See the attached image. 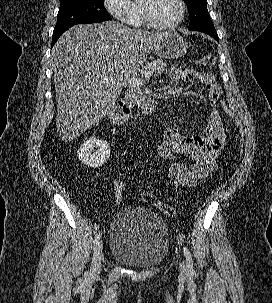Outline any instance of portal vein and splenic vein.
Listing matches in <instances>:
<instances>
[{
	"label": "portal vein and splenic vein",
	"mask_w": 272,
	"mask_h": 303,
	"mask_svg": "<svg viewBox=\"0 0 272 303\" xmlns=\"http://www.w3.org/2000/svg\"><path fill=\"white\" fill-rule=\"evenodd\" d=\"M152 75H153L152 71H147L142 77H128L126 81L129 85H143L145 80L149 79ZM104 79L108 80V78H104Z\"/></svg>",
	"instance_id": "obj_1"
}]
</instances>
